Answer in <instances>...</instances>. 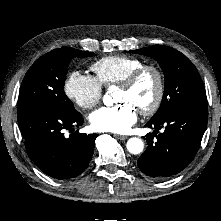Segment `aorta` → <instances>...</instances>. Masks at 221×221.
<instances>
[{"instance_id":"aorta-1","label":"aorta","mask_w":221,"mask_h":221,"mask_svg":"<svg viewBox=\"0 0 221 221\" xmlns=\"http://www.w3.org/2000/svg\"><path fill=\"white\" fill-rule=\"evenodd\" d=\"M113 88L110 87L108 93L112 92ZM105 94L103 97V102L105 105H111L113 103L112 97L109 94ZM127 150L131 154H140L144 149V143L140 138L132 137L127 141L126 144Z\"/></svg>"}]
</instances>
